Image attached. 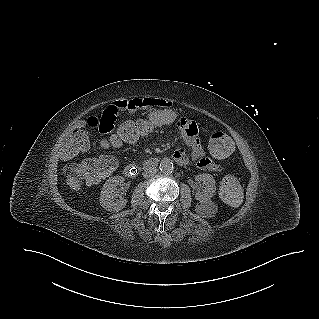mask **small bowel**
I'll list each match as a JSON object with an SVG mask.
<instances>
[{"instance_id": "small-bowel-1", "label": "small bowel", "mask_w": 319, "mask_h": 319, "mask_svg": "<svg viewBox=\"0 0 319 319\" xmlns=\"http://www.w3.org/2000/svg\"><path fill=\"white\" fill-rule=\"evenodd\" d=\"M167 106L168 103L159 98L112 99L104 105L97 106L92 115L76 124L74 131L77 132L85 128L94 134L109 135L114 132L116 122L121 120L128 111ZM176 121L177 130H183L184 142L191 150V161L199 168L219 171L220 166L205 156L198 138L199 125L196 121H189L187 115H178ZM173 157L181 165H186L190 161L185 148L175 151Z\"/></svg>"}]
</instances>
